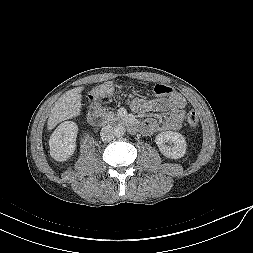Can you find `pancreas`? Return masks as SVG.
I'll return each instance as SVG.
<instances>
[{
	"label": "pancreas",
	"instance_id": "pancreas-1",
	"mask_svg": "<svg viewBox=\"0 0 253 253\" xmlns=\"http://www.w3.org/2000/svg\"><path fill=\"white\" fill-rule=\"evenodd\" d=\"M103 118H104L105 123H109V124L115 123L119 119V117L116 114H114L113 111L109 109L104 110Z\"/></svg>",
	"mask_w": 253,
	"mask_h": 253
}]
</instances>
